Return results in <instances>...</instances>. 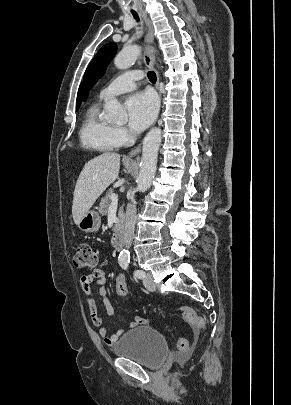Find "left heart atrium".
Masks as SVG:
<instances>
[{
  "label": "left heart atrium",
  "instance_id": "obj_1",
  "mask_svg": "<svg viewBox=\"0 0 291 405\" xmlns=\"http://www.w3.org/2000/svg\"><path fill=\"white\" fill-rule=\"evenodd\" d=\"M128 125L131 130L141 132L154 120L157 113V101L153 94L141 92L131 96L126 103Z\"/></svg>",
  "mask_w": 291,
  "mask_h": 405
}]
</instances>
